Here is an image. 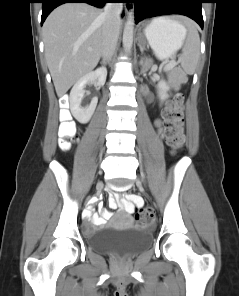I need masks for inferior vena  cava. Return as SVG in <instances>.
Instances as JSON below:
<instances>
[{"mask_svg":"<svg viewBox=\"0 0 239 296\" xmlns=\"http://www.w3.org/2000/svg\"><path fill=\"white\" fill-rule=\"evenodd\" d=\"M122 10L123 3H107L104 7V12L102 14L105 20L102 28L103 61L110 60L114 53L119 36V23Z\"/></svg>","mask_w":239,"mask_h":296,"instance_id":"1","label":"inferior vena cava"}]
</instances>
